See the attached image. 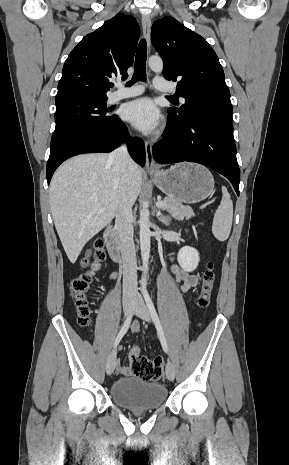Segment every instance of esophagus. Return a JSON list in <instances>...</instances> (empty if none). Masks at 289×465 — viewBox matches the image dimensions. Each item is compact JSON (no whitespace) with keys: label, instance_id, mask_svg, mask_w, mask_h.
Segmentation results:
<instances>
[{"label":"esophagus","instance_id":"34e87169","mask_svg":"<svg viewBox=\"0 0 289 465\" xmlns=\"http://www.w3.org/2000/svg\"><path fill=\"white\" fill-rule=\"evenodd\" d=\"M142 32L149 46L150 45V32H151V18L149 15L142 16ZM145 152H146V170L157 171L158 167L153 157V145L149 141H145Z\"/></svg>","mask_w":289,"mask_h":465}]
</instances>
